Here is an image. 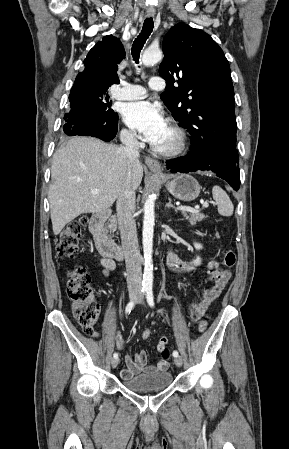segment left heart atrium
Segmentation results:
<instances>
[{
    "label": "left heart atrium",
    "instance_id": "1",
    "mask_svg": "<svg viewBox=\"0 0 289 449\" xmlns=\"http://www.w3.org/2000/svg\"><path fill=\"white\" fill-rule=\"evenodd\" d=\"M124 122L140 137L155 145L167 128L165 118L160 108L149 101H136L125 105L123 109Z\"/></svg>",
    "mask_w": 289,
    "mask_h": 449
}]
</instances>
